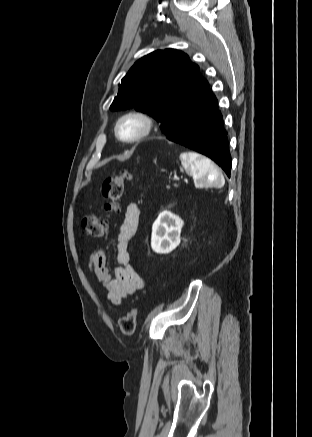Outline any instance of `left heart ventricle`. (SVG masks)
I'll return each instance as SVG.
<instances>
[{"mask_svg": "<svg viewBox=\"0 0 312 437\" xmlns=\"http://www.w3.org/2000/svg\"><path fill=\"white\" fill-rule=\"evenodd\" d=\"M141 130L142 122L135 118L126 119L120 127V132L122 136L126 138L137 135Z\"/></svg>", "mask_w": 312, "mask_h": 437, "instance_id": "obj_1", "label": "left heart ventricle"}]
</instances>
